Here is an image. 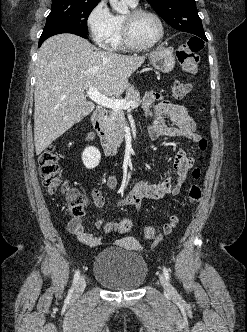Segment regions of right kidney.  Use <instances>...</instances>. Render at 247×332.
Segmentation results:
<instances>
[{
	"mask_svg": "<svg viewBox=\"0 0 247 332\" xmlns=\"http://www.w3.org/2000/svg\"><path fill=\"white\" fill-rule=\"evenodd\" d=\"M101 159L100 151L95 147H86L82 153V161L86 168L93 169L98 166Z\"/></svg>",
	"mask_w": 247,
	"mask_h": 332,
	"instance_id": "ca27d5eb",
	"label": "right kidney"
}]
</instances>
